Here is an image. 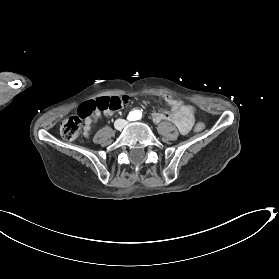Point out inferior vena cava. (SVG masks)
<instances>
[{
    "label": "inferior vena cava",
    "instance_id": "inferior-vena-cava-1",
    "mask_svg": "<svg viewBox=\"0 0 279 279\" xmlns=\"http://www.w3.org/2000/svg\"><path fill=\"white\" fill-rule=\"evenodd\" d=\"M128 123V121H125V120H123V119H118L117 121H115V124H114V126H115V128L117 129V130H120L121 131V129L124 127V125L125 124H127Z\"/></svg>",
    "mask_w": 279,
    "mask_h": 279
}]
</instances>
